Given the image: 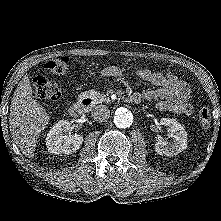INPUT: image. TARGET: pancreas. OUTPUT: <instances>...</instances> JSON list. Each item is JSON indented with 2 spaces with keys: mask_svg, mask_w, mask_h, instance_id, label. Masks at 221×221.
Returning <instances> with one entry per match:
<instances>
[{
  "mask_svg": "<svg viewBox=\"0 0 221 221\" xmlns=\"http://www.w3.org/2000/svg\"><path fill=\"white\" fill-rule=\"evenodd\" d=\"M86 94L88 96L92 97L93 99H95L97 102H106L107 101L106 96L97 92V91H94V90L87 91Z\"/></svg>",
  "mask_w": 221,
  "mask_h": 221,
  "instance_id": "pancreas-1",
  "label": "pancreas"
}]
</instances>
